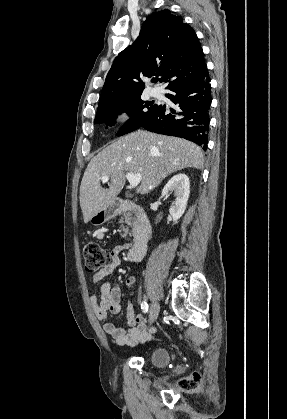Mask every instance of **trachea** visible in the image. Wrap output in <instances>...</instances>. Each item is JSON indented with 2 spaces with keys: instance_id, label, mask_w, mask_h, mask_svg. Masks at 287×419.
Returning <instances> with one entry per match:
<instances>
[{
  "instance_id": "3493384b",
  "label": "trachea",
  "mask_w": 287,
  "mask_h": 419,
  "mask_svg": "<svg viewBox=\"0 0 287 419\" xmlns=\"http://www.w3.org/2000/svg\"><path fill=\"white\" fill-rule=\"evenodd\" d=\"M153 82H157V79H154Z\"/></svg>"
}]
</instances>
